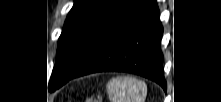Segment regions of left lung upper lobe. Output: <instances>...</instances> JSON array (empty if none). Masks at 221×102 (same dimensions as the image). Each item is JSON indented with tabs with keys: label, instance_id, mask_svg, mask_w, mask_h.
Returning <instances> with one entry per match:
<instances>
[{
	"label": "left lung upper lobe",
	"instance_id": "left-lung-upper-lobe-1",
	"mask_svg": "<svg viewBox=\"0 0 221 102\" xmlns=\"http://www.w3.org/2000/svg\"><path fill=\"white\" fill-rule=\"evenodd\" d=\"M138 0H75L58 41L49 90L68 82Z\"/></svg>",
	"mask_w": 221,
	"mask_h": 102
}]
</instances>
